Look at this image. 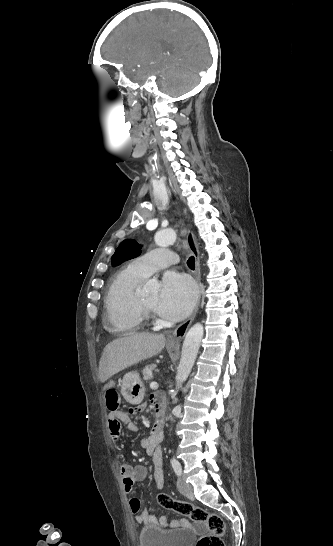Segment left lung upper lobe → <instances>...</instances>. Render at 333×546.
Here are the masks:
<instances>
[{"label": "left lung upper lobe", "instance_id": "1", "mask_svg": "<svg viewBox=\"0 0 333 546\" xmlns=\"http://www.w3.org/2000/svg\"><path fill=\"white\" fill-rule=\"evenodd\" d=\"M140 253L141 247L135 240H124L116 249L111 262L114 266H117L126 260L139 256Z\"/></svg>", "mask_w": 333, "mask_h": 546}]
</instances>
